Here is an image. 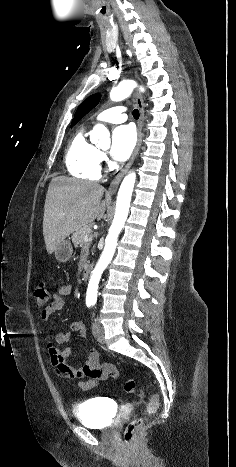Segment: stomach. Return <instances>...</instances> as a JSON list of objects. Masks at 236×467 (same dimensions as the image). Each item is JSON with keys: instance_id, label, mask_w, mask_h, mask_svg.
I'll return each mask as SVG.
<instances>
[{"instance_id": "0dacf381", "label": "stomach", "mask_w": 236, "mask_h": 467, "mask_svg": "<svg viewBox=\"0 0 236 467\" xmlns=\"http://www.w3.org/2000/svg\"><path fill=\"white\" fill-rule=\"evenodd\" d=\"M55 257L59 262L65 263L68 260H70L72 253H73V247L72 244L69 240H64L58 246L56 247L55 251Z\"/></svg>"}]
</instances>
